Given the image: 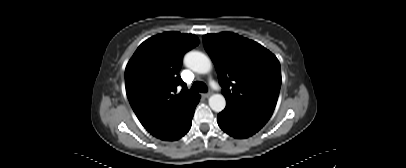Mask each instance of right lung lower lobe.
Wrapping results in <instances>:
<instances>
[{"label":"right lung lower lobe","instance_id":"98d812e1","mask_svg":"<svg viewBox=\"0 0 406 168\" xmlns=\"http://www.w3.org/2000/svg\"><path fill=\"white\" fill-rule=\"evenodd\" d=\"M200 100V96L185 112V114L177 121L171 130L163 137L162 140L174 141L184 136L190 129L195 107Z\"/></svg>","mask_w":406,"mask_h":168}]
</instances>
